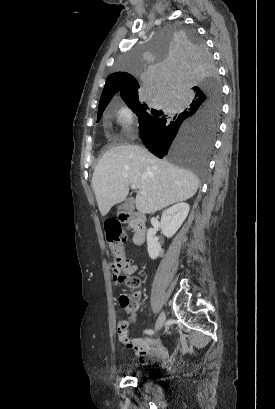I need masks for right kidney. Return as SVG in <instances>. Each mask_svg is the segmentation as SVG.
Masks as SVG:
<instances>
[{
	"instance_id": "right-kidney-1",
	"label": "right kidney",
	"mask_w": 275,
	"mask_h": 409,
	"mask_svg": "<svg viewBox=\"0 0 275 409\" xmlns=\"http://www.w3.org/2000/svg\"><path fill=\"white\" fill-rule=\"evenodd\" d=\"M190 211L187 202H177V205H173L167 211H164L161 217V227L163 235L165 237H173L180 229L182 223H184L188 213ZM156 229H148L147 233V251L150 259H157V257H162L164 255L161 245L158 243V239H155Z\"/></svg>"
}]
</instances>
